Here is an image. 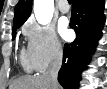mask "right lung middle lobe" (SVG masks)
Listing matches in <instances>:
<instances>
[{"label":"right lung middle lobe","mask_w":107,"mask_h":89,"mask_svg":"<svg viewBox=\"0 0 107 89\" xmlns=\"http://www.w3.org/2000/svg\"><path fill=\"white\" fill-rule=\"evenodd\" d=\"M19 27H20V26H19ZM19 27H13V29H12V32H13L12 39L15 38V35H16V29L19 28Z\"/></svg>","instance_id":"obj_1"}]
</instances>
